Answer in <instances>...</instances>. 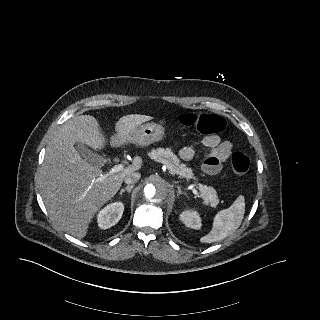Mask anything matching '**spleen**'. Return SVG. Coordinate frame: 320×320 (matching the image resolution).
I'll return each mask as SVG.
<instances>
[{"instance_id":"3e777b00","label":"spleen","mask_w":320,"mask_h":320,"mask_svg":"<svg viewBox=\"0 0 320 320\" xmlns=\"http://www.w3.org/2000/svg\"><path fill=\"white\" fill-rule=\"evenodd\" d=\"M244 213L245 200L240 195L229 208L223 209L215 215L210 233L201 237L200 241L212 243L225 239L239 228Z\"/></svg>"}]
</instances>
